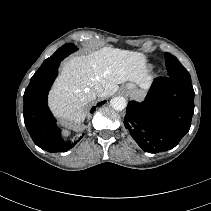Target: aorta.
Listing matches in <instances>:
<instances>
[{"label": "aorta", "instance_id": "obj_1", "mask_svg": "<svg viewBox=\"0 0 211 211\" xmlns=\"http://www.w3.org/2000/svg\"><path fill=\"white\" fill-rule=\"evenodd\" d=\"M126 104V100L123 97H114L110 100L111 107L117 111L123 110Z\"/></svg>", "mask_w": 211, "mask_h": 211}]
</instances>
